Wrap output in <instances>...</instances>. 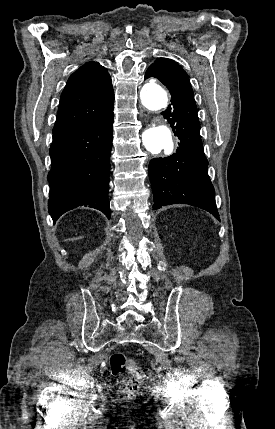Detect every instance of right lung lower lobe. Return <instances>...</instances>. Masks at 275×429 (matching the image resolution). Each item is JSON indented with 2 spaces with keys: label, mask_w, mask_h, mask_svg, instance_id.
Returning <instances> with one entry per match:
<instances>
[{
  "label": "right lung lower lobe",
  "mask_w": 275,
  "mask_h": 429,
  "mask_svg": "<svg viewBox=\"0 0 275 429\" xmlns=\"http://www.w3.org/2000/svg\"><path fill=\"white\" fill-rule=\"evenodd\" d=\"M113 120L112 113L105 119L53 133L47 179L48 209L54 222L66 210L82 205L98 209L110 218L108 185Z\"/></svg>",
  "instance_id": "obj_1"
}]
</instances>
